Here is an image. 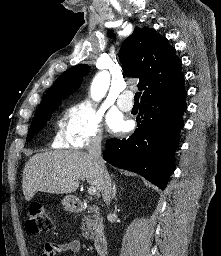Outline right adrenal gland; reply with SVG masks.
<instances>
[{
  "mask_svg": "<svg viewBox=\"0 0 221 256\" xmlns=\"http://www.w3.org/2000/svg\"><path fill=\"white\" fill-rule=\"evenodd\" d=\"M112 199H114L115 197H116V192H117V190H116V184H115V182L113 181V184H112Z\"/></svg>",
  "mask_w": 221,
  "mask_h": 256,
  "instance_id": "2a0ac1e0",
  "label": "right adrenal gland"
}]
</instances>
